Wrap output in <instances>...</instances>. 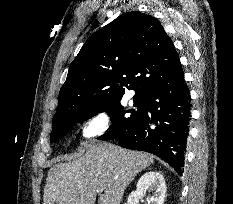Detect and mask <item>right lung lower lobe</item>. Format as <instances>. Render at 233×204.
<instances>
[{
	"label": "right lung lower lobe",
	"mask_w": 233,
	"mask_h": 204,
	"mask_svg": "<svg viewBox=\"0 0 233 204\" xmlns=\"http://www.w3.org/2000/svg\"><path fill=\"white\" fill-rule=\"evenodd\" d=\"M144 97L143 111L134 123L109 140L117 139L124 148L152 153L182 174L191 104L181 63L171 66Z\"/></svg>",
	"instance_id": "98d812e1"
}]
</instances>
